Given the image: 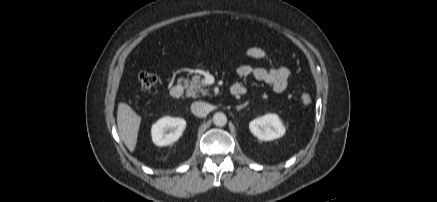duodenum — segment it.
Masks as SVG:
<instances>
[{"label": "duodenum", "instance_id": "duodenum-1", "mask_svg": "<svg viewBox=\"0 0 437 202\" xmlns=\"http://www.w3.org/2000/svg\"><path fill=\"white\" fill-rule=\"evenodd\" d=\"M183 93H184V87L182 84H175L172 86L170 90L171 96L175 99L181 98ZM230 93L233 96L239 95V91L233 87L230 89Z\"/></svg>", "mask_w": 437, "mask_h": 202}]
</instances>
